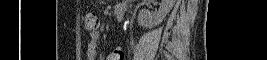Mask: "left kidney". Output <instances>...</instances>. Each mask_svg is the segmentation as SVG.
Masks as SVG:
<instances>
[{
    "label": "left kidney",
    "mask_w": 267,
    "mask_h": 60,
    "mask_svg": "<svg viewBox=\"0 0 267 60\" xmlns=\"http://www.w3.org/2000/svg\"><path fill=\"white\" fill-rule=\"evenodd\" d=\"M176 0H161L160 7L155 15H151L145 10H141L138 14V23L143 27H154L159 25L171 11Z\"/></svg>",
    "instance_id": "obj_1"
}]
</instances>
